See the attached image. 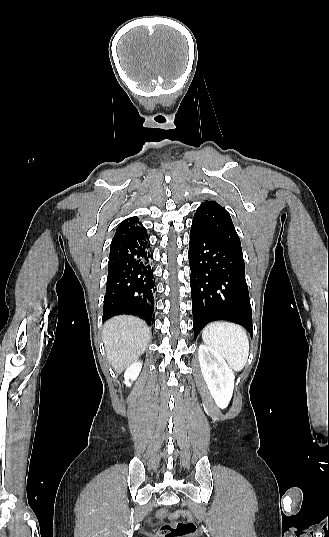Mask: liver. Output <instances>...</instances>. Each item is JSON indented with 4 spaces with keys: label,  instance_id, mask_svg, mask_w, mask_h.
Masks as SVG:
<instances>
[{
    "label": "liver",
    "instance_id": "obj_1",
    "mask_svg": "<svg viewBox=\"0 0 329 537\" xmlns=\"http://www.w3.org/2000/svg\"><path fill=\"white\" fill-rule=\"evenodd\" d=\"M150 338V328L144 321L126 315L111 318L103 327L108 362L121 373L144 353Z\"/></svg>",
    "mask_w": 329,
    "mask_h": 537
}]
</instances>
